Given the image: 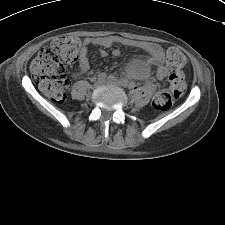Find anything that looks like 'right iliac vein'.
<instances>
[{
    "label": "right iliac vein",
    "instance_id": "63e3f726",
    "mask_svg": "<svg viewBox=\"0 0 225 225\" xmlns=\"http://www.w3.org/2000/svg\"><path fill=\"white\" fill-rule=\"evenodd\" d=\"M103 84V81L102 80H97L95 83H94V86L95 87H99Z\"/></svg>",
    "mask_w": 225,
    "mask_h": 225
}]
</instances>
